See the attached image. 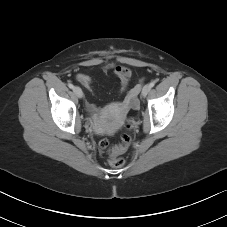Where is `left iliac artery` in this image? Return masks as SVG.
<instances>
[{
    "instance_id": "obj_1",
    "label": "left iliac artery",
    "mask_w": 227,
    "mask_h": 227,
    "mask_svg": "<svg viewBox=\"0 0 227 227\" xmlns=\"http://www.w3.org/2000/svg\"><path fill=\"white\" fill-rule=\"evenodd\" d=\"M149 85H150V87H154L155 82L153 81V82H151Z\"/></svg>"
}]
</instances>
